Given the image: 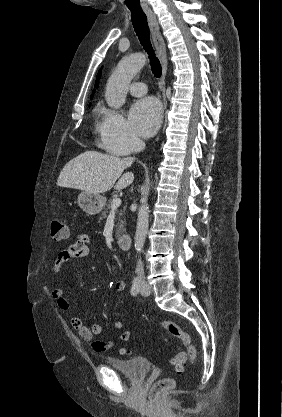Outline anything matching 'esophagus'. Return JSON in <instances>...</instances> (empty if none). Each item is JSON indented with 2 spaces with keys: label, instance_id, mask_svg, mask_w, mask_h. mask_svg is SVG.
<instances>
[{
  "label": "esophagus",
  "instance_id": "esophagus-1",
  "mask_svg": "<svg viewBox=\"0 0 282 417\" xmlns=\"http://www.w3.org/2000/svg\"><path fill=\"white\" fill-rule=\"evenodd\" d=\"M145 13L148 18V23H149V27H150L151 34H152V40L156 48V53L159 57L161 67H162V73H161V77L159 80V88L162 93V101H163L164 109H166L167 100H166V95H165V90H166L165 77L167 73V53H166L165 42L160 32V27H159L156 15L151 10H147L145 11Z\"/></svg>",
  "mask_w": 282,
  "mask_h": 417
}]
</instances>
